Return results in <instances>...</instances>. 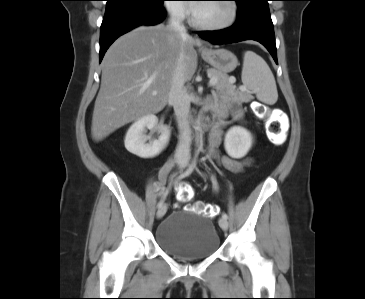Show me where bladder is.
<instances>
[{
    "label": "bladder",
    "instance_id": "1",
    "mask_svg": "<svg viewBox=\"0 0 365 299\" xmlns=\"http://www.w3.org/2000/svg\"><path fill=\"white\" fill-rule=\"evenodd\" d=\"M156 244L185 260L206 258L220 247L214 222L197 212L175 209L155 230Z\"/></svg>",
    "mask_w": 365,
    "mask_h": 299
}]
</instances>
